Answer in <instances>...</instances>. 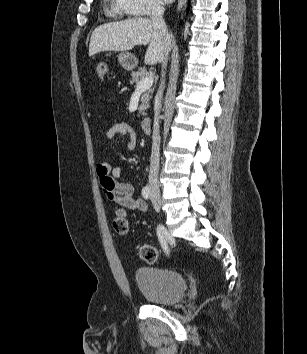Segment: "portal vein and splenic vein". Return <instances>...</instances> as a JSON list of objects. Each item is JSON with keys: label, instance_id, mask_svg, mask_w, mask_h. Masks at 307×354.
Here are the masks:
<instances>
[{"label": "portal vein and splenic vein", "instance_id": "18ae733b", "mask_svg": "<svg viewBox=\"0 0 307 354\" xmlns=\"http://www.w3.org/2000/svg\"><path fill=\"white\" fill-rule=\"evenodd\" d=\"M154 79L152 77H147V78H143L142 80H140L135 88L136 92H144L148 89H150V87L153 85Z\"/></svg>", "mask_w": 307, "mask_h": 354}]
</instances>
